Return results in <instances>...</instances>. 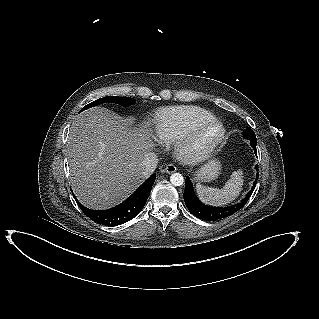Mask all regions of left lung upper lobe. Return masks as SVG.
Instances as JSON below:
<instances>
[{"mask_svg": "<svg viewBox=\"0 0 319 319\" xmlns=\"http://www.w3.org/2000/svg\"><path fill=\"white\" fill-rule=\"evenodd\" d=\"M243 136L244 138L248 139L251 142V144L257 143L255 133L252 129L247 128V130L243 132Z\"/></svg>", "mask_w": 319, "mask_h": 319, "instance_id": "obj_1", "label": "left lung upper lobe"}]
</instances>
